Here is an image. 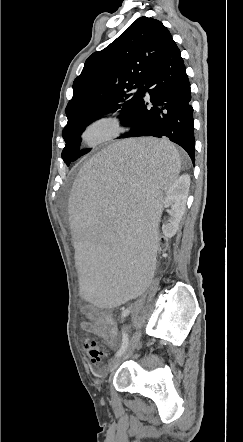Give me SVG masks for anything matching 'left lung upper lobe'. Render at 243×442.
<instances>
[{"mask_svg":"<svg viewBox=\"0 0 243 442\" xmlns=\"http://www.w3.org/2000/svg\"><path fill=\"white\" fill-rule=\"evenodd\" d=\"M170 32L158 20L138 18L102 51L93 53L73 82V97L66 107L68 123L62 159L70 165L90 149L80 150L81 133L101 116L119 111L125 124L142 101L145 77L163 49ZM138 88L133 94L131 91Z\"/></svg>","mask_w":243,"mask_h":442,"instance_id":"1","label":"left lung upper lobe"}]
</instances>
